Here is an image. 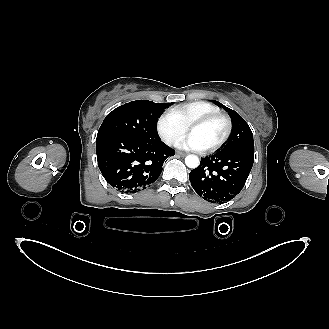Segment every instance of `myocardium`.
Returning a JSON list of instances; mask_svg holds the SVG:
<instances>
[{
	"label": "myocardium",
	"instance_id": "f54148a6",
	"mask_svg": "<svg viewBox=\"0 0 329 329\" xmlns=\"http://www.w3.org/2000/svg\"><path fill=\"white\" fill-rule=\"evenodd\" d=\"M216 119H220V120L224 121L225 126H226L225 133H224L223 137L215 145H213L210 148L204 149L205 153H213V152L219 150L228 141V139L232 133V121H231L230 117L221 112L212 113V114H208V115L199 117V118L193 120L188 125V131H190L194 127L204 125V124L211 122L213 120H216Z\"/></svg>",
	"mask_w": 329,
	"mask_h": 329
}]
</instances>
